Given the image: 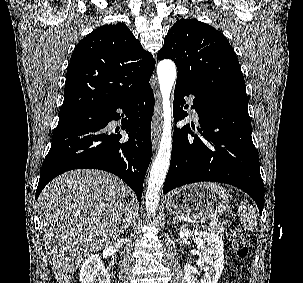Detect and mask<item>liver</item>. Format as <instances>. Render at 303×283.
I'll list each match as a JSON object with an SVG mask.
<instances>
[{"label":"liver","mask_w":303,"mask_h":283,"mask_svg":"<svg viewBox=\"0 0 303 283\" xmlns=\"http://www.w3.org/2000/svg\"><path fill=\"white\" fill-rule=\"evenodd\" d=\"M128 190L100 170H72L53 179L38 199L40 229L58 283H71L83 258L116 237Z\"/></svg>","instance_id":"1"}]
</instances>
